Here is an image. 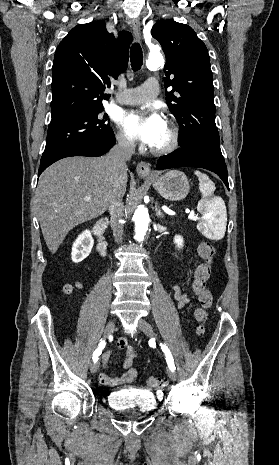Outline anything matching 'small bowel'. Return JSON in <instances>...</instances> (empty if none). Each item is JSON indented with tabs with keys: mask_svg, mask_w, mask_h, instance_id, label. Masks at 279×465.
I'll return each mask as SVG.
<instances>
[{
	"mask_svg": "<svg viewBox=\"0 0 279 465\" xmlns=\"http://www.w3.org/2000/svg\"><path fill=\"white\" fill-rule=\"evenodd\" d=\"M173 290L175 292V298L177 300V306L179 308L184 307L187 303L190 302V297L187 294H183L180 291V287L178 285L173 286ZM116 350L118 351H125V357L122 363V366L125 370L122 376L120 377H110L104 372H102L99 376V380L101 384L108 387H115L119 385H124L133 382L137 378V371L132 367L133 362L138 356L137 351L135 348L128 343L126 338H119L116 342ZM112 352L108 351L102 355V363L103 366H107Z\"/></svg>",
	"mask_w": 279,
	"mask_h": 465,
	"instance_id": "small-bowel-1",
	"label": "small bowel"
}]
</instances>
